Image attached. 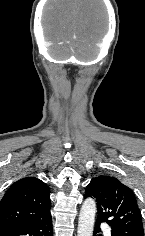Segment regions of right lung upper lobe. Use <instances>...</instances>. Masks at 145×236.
<instances>
[{
	"instance_id": "1",
	"label": "right lung upper lobe",
	"mask_w": 145,
	"mask_h": 236,
	"mask_svg": "<svg viewBox=\"0 0 145 236\" xmlns=\"http://www.w3.org/2000/svg\"><path fill=\"white\" fill-rule=\"evenodd\" d=\"M50 189L40 179L15 182L0 201V228L39 220L50 213Z\"/></svg>"
}]
</instances>
